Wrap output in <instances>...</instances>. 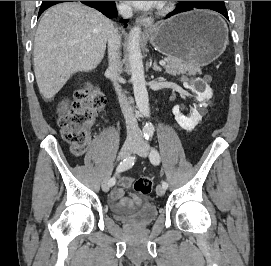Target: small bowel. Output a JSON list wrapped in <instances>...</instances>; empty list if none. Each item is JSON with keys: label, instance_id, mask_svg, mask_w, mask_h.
<instances>
[{"label": "small bowel", "instance_id": "obj_1", "mask_svg": "<svg viewBox=\"0 0 271 266\" xmlns=\"http://www.w3.org/2000/svg\"><path fill=\"white\" fill-rule=\"evenodd\" d=\"M63 104L62 107H64ZM133 178L122 176L118 178L116 187L110 194V204L117 210L134 209L142 204V199L133 193L127 194V189L131 186Z\"/></svg>", "mask_w": 271, "mask_h": 266}]
</instances>
